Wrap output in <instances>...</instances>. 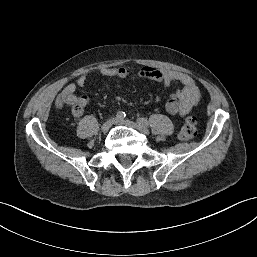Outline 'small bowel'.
I'll use <instances>...</instances> for the list:
<instances>
[{
  "instance_id": "1",
  "label": "small bowel",
  "mask_w": 257,
  "mask_h": 257,
  "mask_svg": "<svg viewBox=\"0 0 257 257\" xmlns=\"http://www.w3.org/2000/svg\"><path fill=\"white\" fill-rule=\"evenodd\" d=\"M97 73L104 77L115 79H149L162 84L165 89H170L172 84H179L180 89L172 92L166 101V110L173 116L185 117L191 109L199 102L201 93L195 80L188 74L167 70L156 69L150 66H143L137 72H133L127 67L120 68H101ZM88 76L82 74L77 77L75 82L69 83L62 91V95L72 96L75 106L72 107V115L79 117L83 114L84 108L89 102L87 95L75 96V92L78 88H82L86 85ZM157 96L155 101H159Z\"/></svg>"
}]
</instances>
